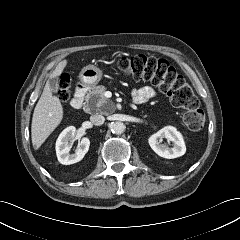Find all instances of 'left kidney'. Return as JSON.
Wrapping results in <instances>:
<instances>
[{
	"instance_id": "1",
	"label": "left kidney",
	"mask_w": 240,
	"mask_h": 240,
	"mask_svg": "<svg viewBox=\"0 0 240 240\" xmlns=\"http://www.w3.org/2000/svg\"><path fill=\"white\" fill-rule=\"evenodd\" d=\"M163 138L173 142V147L169 148L167 145L162 144ZM148 143L156 154L167 159L180 157L186 152V146L181 133L172 126H166L151 135L148 139Z\"/></svg>"
}]
</instances>
